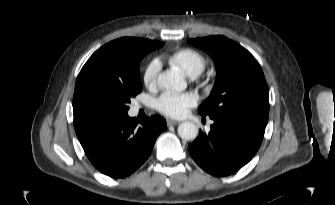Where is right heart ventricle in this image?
Here are the masks:
<instances>
[{
	"label": "right heart ventricle",
	"instance_id": "right-heart-ventricle-1",
	"mask_svg": "<svg viewBox=\"0 0 335 205\" xmlns=\"http://www.w3.org/2000/svg\"><path fill=\"white\" fill-rule=\"evenodd\" d=\"M169 61L191 77L200 75L207 65L205 56L192 48H183L174 52L169 57Z\"/></svg>",
	"mask_w": 335,
	"mask_h": 205
}]
</instances>
